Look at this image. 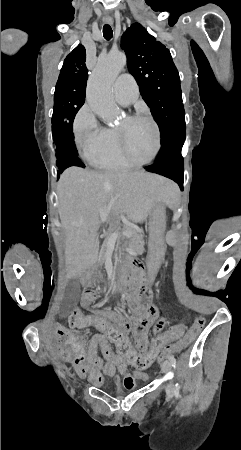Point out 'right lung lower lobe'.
I'll list each match as a JSON object with an SVG mask.
<instances>
[{"mask_svg": "<svg viewBox=\"0 0 241 450\" xmlns=\"http://www.w3.org/2000/svg\"><path fill=\"white\" fill-rule=\"evenodd\" d=\"M72 130H73V126L69 132V137H68L69 148H68V152L66 154V158L71 166L85 167V165L77 157L78 152H77V149L74 144Z\"/></svg>", "mask_w": 241, "mask_h": 450, "instance_id": "right-lung-lower-lobe-1", "label": "right lung lower lobe"}]
</instances>
